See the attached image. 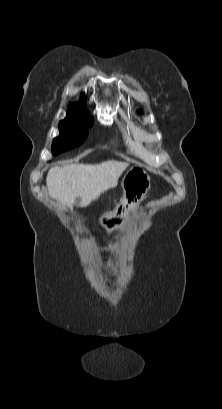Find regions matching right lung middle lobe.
Returning a JSON list of instances; mask_svg holds the SVG:
<instances>
[{
    "mask_svg": "<svg viewBox=\"0 0 222 409\" xmlns=\"http://www.w3.org/2000/svg\"><path fill=\"white\" fill-rule=\"evenodd\" d=\"M91 125L92 117L87 111L67 113L59 123L60 136L53 140L52 153L57 155L80 145L87 137L86 127Z\"/></svg>",
    "mask_w": 222,
    "mask_h": 409,
    "instance_id": "dd1d6c3e",
    "label": "right lung middle lobe"
}]
</instances>
